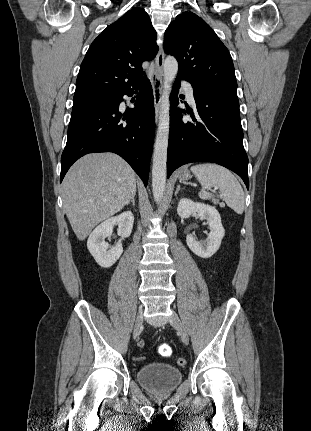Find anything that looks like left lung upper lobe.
Here are the masks:
<instances>
[{
  "instance_id": "left-lung-upper-lobe-1",
  "label": "left lung upper lobe",
  "mask_w": 311,
  "mask_h": 431,
  "mask_svg": "<svg viewBox=\"0 0 311 431\" xmlns=\"http://www.w3.org/2000/svg\"><path fill=\"white\" fill-rule=\"evenodd\" d=\"M164 51L178 63V75L197 89L237 92L231 55L212 28L192 12L178 15L164 35Z\"/></svg>"
}]
</instances>
